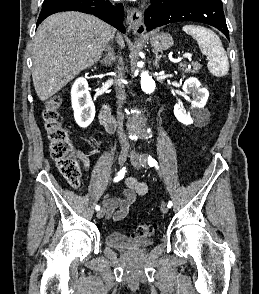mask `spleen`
Returning <instances> with one entry per match:
<instances>
[{"label": "spleen", "mask_w": 259, "mask_h": 294, "mask_svg": "<svg viewBox=\"0 0 259 294\" xmlns=\"http://www.w3.org/2000/svg\"><path fill=\"white\" fill-rule=\"evenodd\" d=\"M182 30L191 35L198 43L201 52L209 57L207 67L216 77H223L229 71L226 51L219 37L202 26L185 25Z\"/></svg>", "instance_id": "1"}]
</instances>
